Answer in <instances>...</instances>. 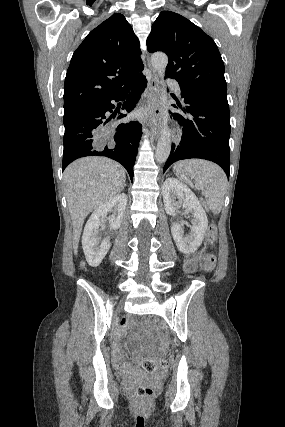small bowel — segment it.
I'll return each mask as SVG.
<instances>
[{
    "mask_svg": "<svg viewBox=\"0 0 285 427\" xmlns=\"http://www.w3.org/2000/svg\"><path fill=\"white\" fill-rule=\"evenodd\" d=\"M192 262H193V258H187L185 261V268H189V265H191ZM125 325H126V320H124V319L121 320L120 326L124 327ZM132 353L134 355H138V354H140V351L138 349H133ZM111 354H112L113 362L116 364V366L121 371H123V372H130L131 371L130 363L123 361L122 351L118 345L113 346Z\"/></svg>",
    "mask_w": 285,
    "mask_h": 427,
    "instance_id": "obj_1",
    "label": "small bowel"
}]
</instances>
